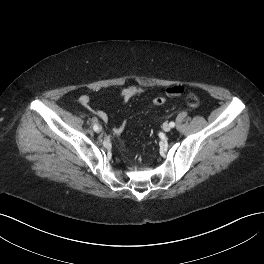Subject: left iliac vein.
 <instances>
[{"mask_svg":"<svg viewBox=\"0 0 264 264\" xmlns=\"http://www.w3.org/2000/svg\"><path fill=\"white\" fill-rule=\"evenodd\" d=\"M162 128L165 132H169L171 130V126L168 123H164Z\"/></svg>","mask_w":264,"mask_h":264,"instance_id":"1","label":"left iliac vein"}]
</instances>
